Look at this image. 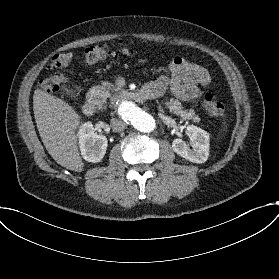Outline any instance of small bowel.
<instances>
[{
	"label": "small bowel",
	"mask_w": 279,
	"mask_h": 279,
	"mask_svg": "<svg viewBox=\"0 0 279 279\" xmlns=\"http://www.w3.org/2000/svg\"><path fill=\"white\" fill-rule=\"evenodd\" d=\"M211 80L209 72L202 66L184 58H175L169 66V75L160 76L141 90L144 98L163 96L167 90L178 99L191 101L198 98Z\"/></svg>",
	"instance_id": "obj_1"
}]
</instances>
